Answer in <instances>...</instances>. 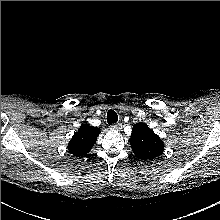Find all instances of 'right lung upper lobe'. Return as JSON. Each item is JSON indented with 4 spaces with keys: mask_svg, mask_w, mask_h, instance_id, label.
<instances>
[{
    "mask_svg": "<svg viewBox=\"0 0 220 220\" xmlns=\"http://www.w3.org/2000/svg\"><path fill=\"white\" fill-rule=\"evenodd\" d=\"M100 132L99 128L88 124L82 125L78 132L72 136L68 144V150L76 157L86 155L92 149Z\"/></svg>",
    "mask_w": 220,
    "mask_h": 220,
    "instance_id": "obj_1",
    "label": "right lung upper lobe"
}]
</instances>
